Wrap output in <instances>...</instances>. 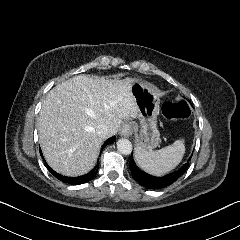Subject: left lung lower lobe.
<instances>
[{"label": "left lung lower lobe", "mask_w": 240, "mask_h": 240, "mask_svg": "<svg viewBox=\"0 0 240 240\" xmlns=\"http://www.w3.org/2000/svg\"><path fill=\"white\" fill-rule=\"evenodd\" d=\"M188 163L183 165L179 170L166 175L164 177H155L151 176L142 170H140L134 160L133 157L131 156L130 159V170L132 172L133 178L143 187L148 188V189H161L166 186L171 185L174 183L187 169Z\"/></svg>", "instance_id": "1"}]
</instances>
